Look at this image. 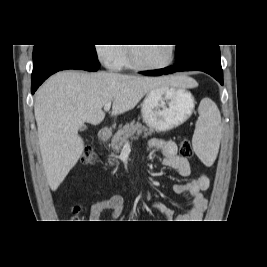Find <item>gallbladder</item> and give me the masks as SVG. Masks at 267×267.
I'll return each instance as SVG.
<instances>
[{
	"mask_svg": "<svg viewBox=\"0 0 267 267\" xmlns=\"http://www.w3.org/2000/svg\"><path fill=\"white\" fill-rule=\"evenodd\" d=\"M85 129H86V126H85V125H83V126L80 127V130H81V131H83V130H85Z\"/></svg>",
	"mask_w": 267,
	"mask_h": 267,
	"instance_id": "obj_1",
	"label": "gallbladder"
}]
</instances>
